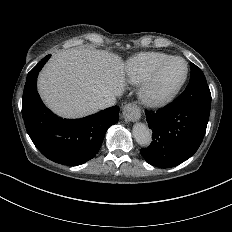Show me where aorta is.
I'll list each match as a JSON object with an SVG mask.
<instances>
[{"label": "aorta", "mask_w": 232, "mask_h": 232, "mask_svg": "<svg viewBox=\"0 0 232 232\" xmlns=\"http://www.w3.org/2000/svg\"><path fill=\"white\" fill-rule=\"evenodd\" d=\"M133 136L136 142L141 146H148L152 141L151 131L147 125L143 123H136L133 126Z\"/></svg>", "instance_id": "aorta-1"}]
</instances>
